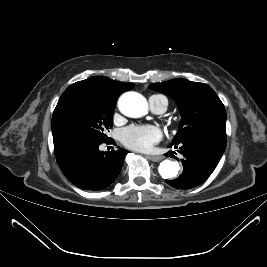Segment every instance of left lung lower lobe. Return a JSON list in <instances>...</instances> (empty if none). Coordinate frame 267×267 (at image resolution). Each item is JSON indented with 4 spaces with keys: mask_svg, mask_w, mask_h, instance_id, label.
<instances>
[{
    "mask_svg": "<svg viewBox=\"0 0 267 267\" xmlns=\"http://www.w3.org/2000/svg\"><path fill=\"white\" fill-rule=\"evenodd\" d=\"M172 146H179V152L184 156L181 160L183 173L178 178L166 182L177 189H190L203 183L214 171L224 153L226 138L200 136L169 147ZM174 153L170 151L165 156L174 158Z\"/></svg>",
    "mask_w": 267,
    "mask_h": 267,
    "instance_id": "left-lung-lower-lobe-1",
    "label": "left lung lower lobe"
}]
</instances>
